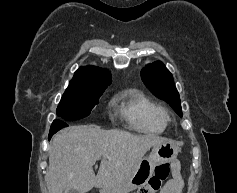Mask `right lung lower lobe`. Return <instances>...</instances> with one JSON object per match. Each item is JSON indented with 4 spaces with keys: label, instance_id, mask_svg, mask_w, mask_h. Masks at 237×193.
<instances>
[{
    "label": "right lung lower lobe",
    "instance_id": "1",
    "mask_svg": "<svg viewBox=\"0 0 237 193\" xmlns=\"http://www.w3.org/2000/svg\"><path fill=\"white\" fill-rule=\"evenodd\" d=\"M67 126L68 125L61 120H54V122L52 123L51 128H50V132H49V136H48L49 140L57 131H59L60 129L67 127Z\"/></svg>",
    "mask_w": 237,
    "mask_h": 193
}]
</instances>
